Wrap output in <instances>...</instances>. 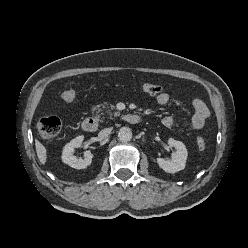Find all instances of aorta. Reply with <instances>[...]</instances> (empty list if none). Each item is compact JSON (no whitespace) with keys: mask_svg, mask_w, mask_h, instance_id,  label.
Here are the masks:
<instances>
[{"mask_svg":"<svg viewBox=\"0 0 248 248\" xmlns=\"http://www.w3.org/2000/svg\"><path fill=\"white\" fill-rule=\"evenodd\" d=\"M118 138L121 142H129L132 139V131L128 127L120 128Z\"/></svg>","mask_w":248,"mask_h":248,"instance_id":"762f6f07","label":"aorta"}]
</instances>
